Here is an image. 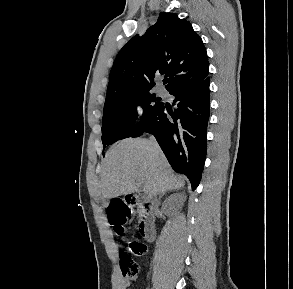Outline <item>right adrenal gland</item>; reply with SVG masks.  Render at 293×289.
I'll use <instances>...</instances> for the list:
<instances>
[{"label": "right adrenal gland", "mask_w": 293, "mask_h": 289, "mask_svg": "<svg viewBox=\"0 0 293 289\" xmlns=\"http://www.w3.org/2000/svg\"><path fill=\"white\" fill-rule=\"evenodd\" d=\"M171 191H173V190H168V191H166V192H163V193L159 196V201L161 200V198H162L167 192H171Z\"/></svg>", "instance_id": "obj_1"}]
</instances>
